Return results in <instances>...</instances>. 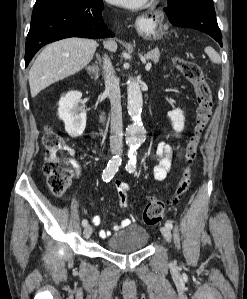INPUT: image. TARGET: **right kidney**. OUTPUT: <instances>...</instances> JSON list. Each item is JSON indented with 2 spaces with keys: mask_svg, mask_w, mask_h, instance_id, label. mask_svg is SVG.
<instances>
[{
  "mask_svg": "<svg viewBox=\"0 0 247 299\" xmlns=\"http://www.w3.org/2000/svg\"><path fill=\"white\" fill-rule=\"evenodd\" d=\"M82 93L70 91L59 101L58 116L65 124V131L72 138L81 136L86 127L85 106H79Z\"/></svg>",
  "mask_w": 247,
  "mask_h": 299,
  "instance_id": "ca27d5eb",
  "label": "right kidney"
}]
</instances>
